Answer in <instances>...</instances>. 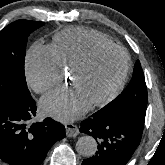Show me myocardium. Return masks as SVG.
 I'll use <instances>...</instances> for the list:
<instances>
[{"label":"myocardium","mask_w":165,"mask_h":165,"mask_svg":"<svg viewBox=\"0 0 165 165\" xmlns=\"http://www.w3.org/2000/svg\"><path fill=\"white\" fill-rule=\"evenodd\" d=\"M109 49L118 50L123 54L124 67L114 87L103 98L90 103V105L94 107L104 106L109 103L112 99H114V97L120 92V90L124 86L130 69V57L128 52L122 46L117 45L115 43L96 45L92 49H90L88 53L81 60H79L70 70L71 72H76L85 69L87 66L90 65V63L93 61V59L99 52Z\"/></svg>","instance_id":"1"}]
</instances>
